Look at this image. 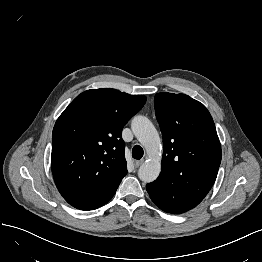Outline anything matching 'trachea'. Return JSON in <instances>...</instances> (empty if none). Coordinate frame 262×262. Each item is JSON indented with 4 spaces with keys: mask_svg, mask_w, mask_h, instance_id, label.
Wrapping results in <instances>:
<instances>
[{
    "mask_svg": "<svg viewBox=\"0 0 262 262\" xmlns=\"http://www.w3.org/2000/svg\"><path fill=\"white\" fill-rule=\"evenodd\" d=\"M144 155L143 148L139 145H135L132 149V157L134 159H141Z\"/></svg>",
    "mask_w": 262,
    "mask_h": 262,
    "instance_id": "1",
    "label": "trachea"
}]
</instances>
